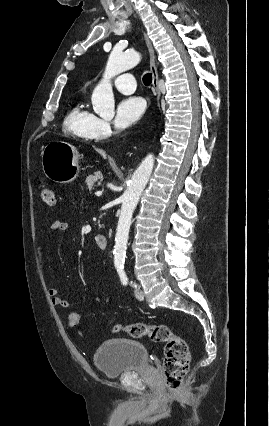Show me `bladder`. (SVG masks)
Returning <instances> with one entry per match:
<instances>
[{
    "label": "bladder",
    "instance_id": "31cf9c89",
    "mask_svg": "<svg viewBox=\"0 0 269 426\" xmlns=\"http://www.w3.org/2000/svg\"><path fill=\"white\" fill-rule=\"evenodd\" d=\"M93 361L109 378L148 366L149 356L144 345L126 338H111L98 347Z\"/></svg>",
    "mask_w": 269,
    "mask_h": 426
}]
</instances>
